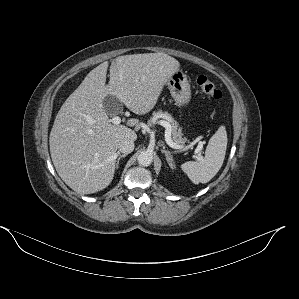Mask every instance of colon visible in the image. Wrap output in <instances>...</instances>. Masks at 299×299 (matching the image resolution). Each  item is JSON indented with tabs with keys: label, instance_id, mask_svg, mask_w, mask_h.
<instances>
[{
	"label": "colon",
	"instance_id": "1",
	"mask_svg": "<svg viewBox=\"0 0 299 299\" xmlns=\"http://www.w3.org/2000/svg\"><path fill=\"white\" fill-rule=\"evenodd\" d=\"M201 92L208 97L218 100L222 98L221 90L208 77L199 75L195 80Z\"/></svg>",
	"mask_w": 299,
	"mask_h": 299
}]
</instances>
